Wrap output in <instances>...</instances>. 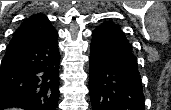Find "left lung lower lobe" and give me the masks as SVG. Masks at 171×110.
I'll return each instance as SVG.
<instances>
[{
  "label": "left lung lower lobe",
  "instance_id": "0a47b994",
  "mask_svg": "<svg viewBox=\"0 0 171 110\" xmlns=\"http://www.w3.org/2000/svg\"><path fill=\"white\" fill-rule=\"evenodd\" d=\"M89 90L93 110H144L137 58L125 34L104 22L92 34Z\"/></svg>",
  "mask_w": 171,
  "mask_h": 110
}]
</instances>
